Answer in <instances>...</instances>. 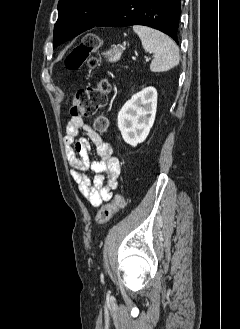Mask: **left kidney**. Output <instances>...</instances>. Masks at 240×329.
<instances>
[{"mask_svg": "<svg viewBox=\"0 0 240 329\" xmlns=\"http://www.w3.org/2000/svg\"><path fill=\"white\" fill-rule=\"evenodd\" d=\"M157 108V91L147 87L133 95L118 113V128L124 141L135 147L148 136Z\"/></svg>", "mask_w": 240, "mask_h": 329, "instance_id": "1", "label": "left kidney"}]
</instances>
